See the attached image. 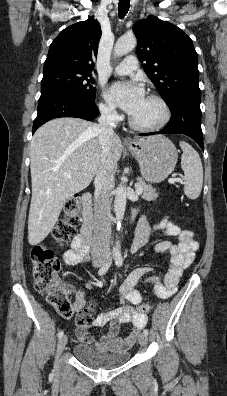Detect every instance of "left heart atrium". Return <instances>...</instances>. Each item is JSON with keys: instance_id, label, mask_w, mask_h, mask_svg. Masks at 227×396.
Masks as SVG:
<instances>
[{"instance_id": "left-heart-atrium-1", "label": "left heart atrium", "mask_w": 227, "mask_h": 396, "mask_svg": "<svg viewBox=\"0 0 227 396\" xmlns=\"http://www.w3.org/2000/svg\"><path fill=\"white\" fill-rule=\"evenodd\" d=\"M105 97L130 115H133L146 99L143 87L135 81L111 85L106 90Z\"/></svg>"}]
</instances>
